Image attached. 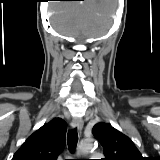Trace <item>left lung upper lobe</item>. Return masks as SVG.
Masks as SVG:
<instances>
[{"instance_id":"1","label":"left lung upper lobe","mask_w":160,"mask_h":160,"mask_svg":"<svg viewBox=\"0 0 160 160\" xmlns=\"http://www.w3.org/2000/svg\"><path fill=\"white\" fill-rule=\"evenodd\" d=\"M92 132L103 146V160H144L132 140L110 124L97 123Z\"/></svg>"}]
</instances>
